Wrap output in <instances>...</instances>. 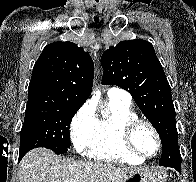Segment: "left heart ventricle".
Instances as JSON below:
<instances>
[{
  "label": "left heart ventricle",
  "instance_id": "b2bd125f",
  "mask_svg": "<svg viewBox=\"0 0 196 182\" xmlns=\"http://www.w3.org/2000/svg\"><path fill=\"white\" fill-rule=\"evenodd\" d=\"M135 146L146 155H152L156 152L157 141L153 132L146 126L137 129L134 135Z\"/></svg>",
  "mask_w": 196,
  "mask_h": 182
}]
</instances>
